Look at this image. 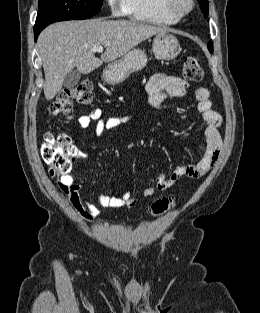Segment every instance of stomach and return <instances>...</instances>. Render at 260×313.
Segmentation results:
<instances>
[{
	"label": "stomach",
	"instance_id": "obj_1",
	"mask_svg": "<svg viewBox=\"0 0 260 313\" xmlns=\"http://www.w3.org/2000/svg\"><path fill=\"white\" fill-rule=\"evenodd\" d=\"M152 51L159 59L172 60L179 55L181 47L174 35L158 33L153 40ZM147 60L144 51L132 49L122 59L109 63L103 70L102 79L110 85L119 84L131 73L142 70Z\"/></svg>",
	"mask_w": 260,
	"mask_h": 313
}]
</instances>
